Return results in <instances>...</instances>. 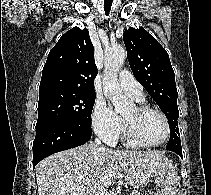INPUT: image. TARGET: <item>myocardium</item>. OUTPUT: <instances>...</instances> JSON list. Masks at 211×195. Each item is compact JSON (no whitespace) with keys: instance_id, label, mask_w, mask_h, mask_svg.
Listing matches in <instances>:
<instances>
[{"instance_id":"1","label":"myocardium","mask_w":211,"mask_h":195,"mask_svg":"<svg viewBox=\"0 0 211 195\" xmlns=\"http://www.w3.org/2000/svg\"><path fill=\"white\" fill-rule=\"evenodd\" d=\"M135 109L139 114H146L149 112H153V113L160 115L165 123V126H166V135H165L164 139L160 142H157V143L145 142L139 137L133 122L129 121L128 119H126L124 117L123 118L124 130H125L126 135L129 137V139L132 140L139 147H157V146L164 144L168 140V138L170 136V132H171L169 120H168L167 116L164 114V112H162L161 110H159L157 108L147 106V105H137L135 107Z\"/></svg>"}]
</instances>
